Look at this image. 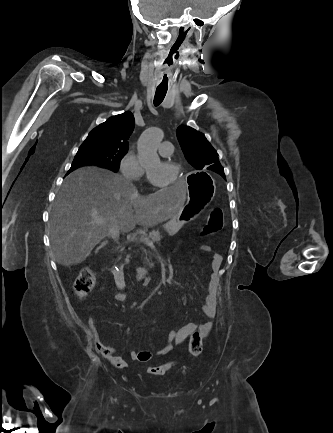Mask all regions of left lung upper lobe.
<instances>
[{
    "mask_svg": "<svg viewBox=\"0 0 333 433\" xmlns=\"http://www.w3.org/2000/svg\"><path fill=\"white\" fill-rule=\"evenodd\" d=\"M177 138L184 156L196 169L201 170L205 167L219 174L224 173L216 150L201 132L181 125L177 129Z\"/></svg>",
    "mask_w": 333,
    "mask_h": 433,
    "instance_id": "obj_1",
    "label": "left lung upper lobe"
}]
</instances>
